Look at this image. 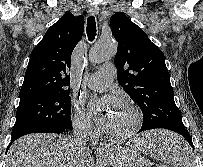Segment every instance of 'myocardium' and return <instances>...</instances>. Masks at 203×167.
<instances>
[{"instance_id": "obj_1", "label": "myocardium", "mask_w": 203, "mask_h": 167, "mask_svg": "<svg viewBox=\"0 0 203 167\" xmlns=\"http://www.w3.org/2000/svg\"><path fill=\"white\" fill-rule=\"evenodd\" d=\"M125 109L132 115L133 123L130 128L121 132H114L108 130V133L116 139H127L133 136L138 131L142 123V114L136 107L127 104L125 106Z\"/></svg>"}]
</instances>
